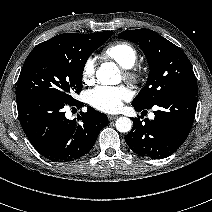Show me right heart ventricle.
Returning a JSON list of instances; mask_svg holds the SVG:
<instances>
[{"label": "right heart ventricle", "instance_id": "right-heart-ventricle-1", "mask_svg": "<svg viewBox=\"0 0 212 212\" xmlns=\"http://www.w3.org/2000/svg\"><path fill=\"white\" fill-rule=\"evenodd\" d=\"M102 58L114 61L124 69L132 67L137 60L136 49L126 42H115L102 52Z\"/></svg>", "mask_w": 212, "mask_h": 212}]
</instances>
